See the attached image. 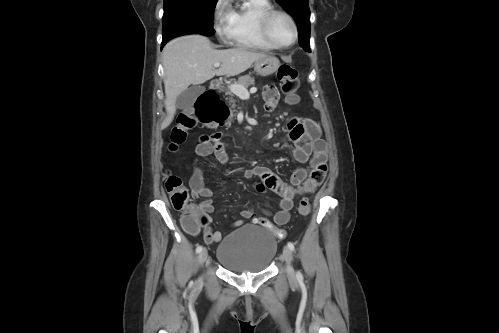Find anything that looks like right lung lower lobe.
Listing matches in <instances>:
<instances>
[{"label":"right lung lower lobe","mask_w":499,"mask_h":333,"mask_svg":"<svg viewBox=\"0 0 499 333\" xmlns=\"http://www.w3.org/2000/svg\"><path fill=\"white\" fill-rule=\"evenodd\" d=\"M166 42H167V41L163 40V42H162V47L165 45V43H166Z\"/></svg>","instance_id":"1"}]
</instances>
